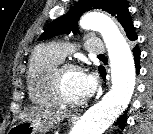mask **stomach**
<instances>
[{"label": "stomach", "mask_w": 153, "mask_h": 134, "mask_svg": "<svg viewBox=\"0 0 153 134\" xmlns=\"http://www.w3.org/2000/svg\"><path fill=\"white\" fill-rule=\"evenodd\" d=\"M47 130V127L36 120L20 121L10 129L9 134H39Z\"/></svg>", "instance_id": "stomach-1"}]
</instances>
